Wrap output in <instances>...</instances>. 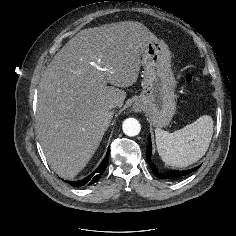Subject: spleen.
<instances>
[{
    "label": "spleen",
    "mask_w": 236,
    "mask_h": 236,
    "mask_svg": "<svg viewBox=\"0 0 236 236\" xmlns=\"http://www.w3.org/2000/svg\"><path fill=\"white\" fill-rule=\"evenodd\" d=\"M212 134L213 119L209 115H203L173 133L156 128L155 137L159 156L171 166L192 165L205 155Z\"/></svg>",
    "instance_id": "1"
}]
</instances>
